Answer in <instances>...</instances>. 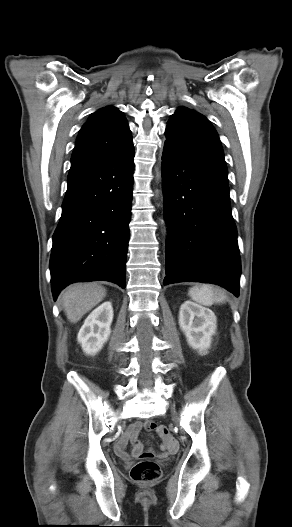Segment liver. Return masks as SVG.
Here are the masks:
<instances>
[{"mask_svg": "<svg viewBox=\"0 0 292 527\" xmlns=\"http://www.w3.org/2000/svg\"><path fill=\"white\" fill-rule=\"evenodd\" d=\"M106 296V289L97 283L77 284L62 297L63 309L71 323L78 322Z\"/></svg>", "mask_w": 292, "mask_h": 527, "instance_id": "1", "label": "liver"}]
</instances>
